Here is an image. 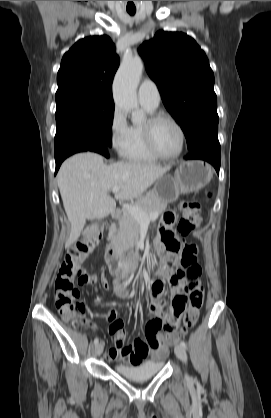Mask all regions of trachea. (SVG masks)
Here are the masks:
<instances>
[{"label":"trachea","mask_w":271,"mask_h":418,"mask_svg":"<svg viewBox=\"0 0 271 418\" xmlns=\"http://www.w3.org/2000/svg\"><path fill=\"white\" fill-rule=\"evenodd\" d=\"M127 12L130 14V15H134L135 14V12H136V9H128L127 10Z\"/></svg>","instance_id":"1"}]
</instances>
